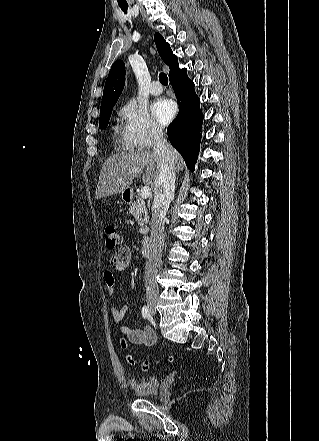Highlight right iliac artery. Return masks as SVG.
<instances>
[{"instance_id": "1", "label": "right iliac artery", "mask_w": 319, "mask_h": 441, "mask_svg": "<svg viewBox=\"0 0 319 441\" xmlns=\"http://www.w3.org/2000/svg\"><path fill=\"white\" fill-rule=\"evenodd\" d=\"M142 316H143L144 319H149L150 318V311H149L148 307L145 306V305L142 308Z\"/></svg>"}]
</instances>
